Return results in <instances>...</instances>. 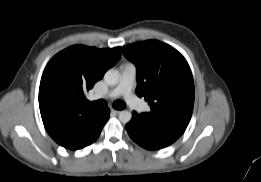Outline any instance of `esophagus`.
Here are the masks:
<instances>
[{
	"instance_id": "1",
	"label": "esophagus",
	"mask_w": 261,
	"mask_h": 182,
	"mask_svg": "<svg viewBox=\"0 0 261 182\" xmlns=\"http://www.w3.org/2000/svg\"><path fill=\"white\" fill-rule=\"evenodd\" d=\"M111 112L114 114H119L121 111L120 110H116V109H111Z\"/></svg>"
}]
</instances>
